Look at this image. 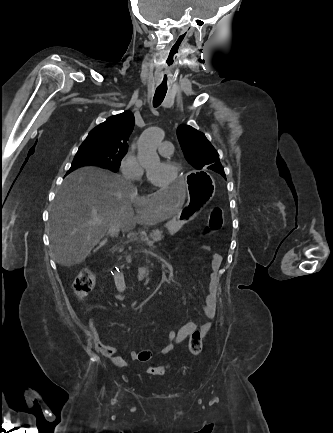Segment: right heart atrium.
<instances>
[{"mask_svg":"<svg viewBox=\"0 0 333 433\" xmlns=\"http://www.w3.org/2000/svg\"><path fill=\"white\" fill-rule=\"evenodd\" d=\"M120 170L124 177L132 180L140 179L143 175V168L137 158L130 152H127L122 157Z\"/></svg>","mask_w":333,"mask_h":433,"instance_id":"right-heart-atrium-1","label":"right heart atrium"}]
</instances>
